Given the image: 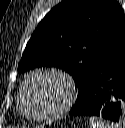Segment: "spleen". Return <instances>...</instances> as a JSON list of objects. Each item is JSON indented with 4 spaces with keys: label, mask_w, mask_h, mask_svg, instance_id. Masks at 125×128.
<instances>
[{
    "label": "spleen",
    "mask_w": 125,
    "mask_h": 128,
    "mask_svg": "<svg viewBox=\"0 0 125 128\" xmlns=\"http://www.w3.org/2000/svg\"><path fill=\"white\" fill-rule=\"evenodd\" d=\"M90 128H113V126L107 121H104L102 118L91 117Z\"/></svg>",
    "instance_id": "spleen-1"
}]
</instances>
